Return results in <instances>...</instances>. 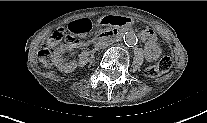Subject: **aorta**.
<instances>
[{
    "label": "aorta",
    "instance_id": "1",
    "mask_svg": "<svg viewBox=\"0 0 207 123\" xmlns=\"http://www.w3.org/2000/svg\"><path fill=\"white\" fill-rule=\"evenodd\" d=\"M123 39L125 44L128 46H133L137 43V36L132 32H127Z\"/></svg>",
    "mask_w": 207,
    "mask_h": 123
}]
</instances>
